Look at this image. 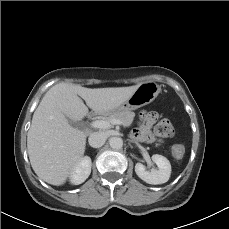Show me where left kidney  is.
<instances>
[{
    "label": "left kidney",
    "mask_w": 229,
    "mask_h": 229,
    "mask_svg": "<svg viewBox=\"0 0 229 229\" xmlns=\"http://www.w3.org/2000/svg\"><path fill=\"white\" fill-rule=\"evenodd\" d=\"M152 160L154 163H156L158 169L147 171L142 163H136V174L148 184L157 185L166 183L171 175V164L169 160L166 157L158 154L153 155Z\"/></svg>",
    "instance_id": "1"
}]
</instances>
